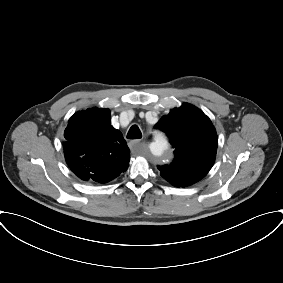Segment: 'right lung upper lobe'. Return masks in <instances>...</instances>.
Instances as JSON below:
<instances>
[{
  "instance_id": "right-lung-upper-lobe-1",
  "label": "right lung upper lobe",
  "mask_w": 283,
  "mask_h": 283,
  "mask_svg": "<svg viewBox=\"0 0 283 283\" xmlns=\"http://www.w3.org/2000/svg\"><path fill=\"white\" fill-rule=\"evenodd\" d=\"M110 120L109 110L103 108L77 112L69 120L65 158L83 180L107 183L129 166L130 150Z\"/></svg>"
}]
</instances>
